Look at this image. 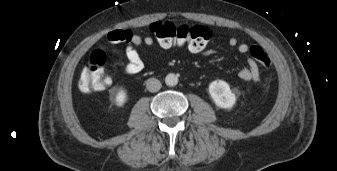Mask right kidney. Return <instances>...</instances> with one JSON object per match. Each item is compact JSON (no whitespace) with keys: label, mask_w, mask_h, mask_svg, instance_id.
Here are the masks:
<instances>
[{"label":"right kidney","mask_w":337,"mask_h":171,"mask_svg":"<svg viewBox=\"0 0 337 171\" xmlns=\"http://www.w3.org/2000/svg\"><path fill=\"white\" fill-rule=\"evenodd\" d=\"M127 94L124 89H120L115 96V103L117 106H123L126 102Z\"/></svg>","instance_id":"obj_1"}]
</instances>
